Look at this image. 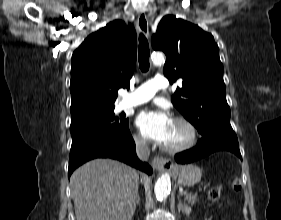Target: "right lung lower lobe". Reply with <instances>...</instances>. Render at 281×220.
Returning a JSON list of instances; mask_svg holds the SVG:
<instances>
[{"mask_svg":"<svg viewBox=\"0 0 281 220\" xmlns=\"http://www.w3.org/2000/svg\"><path fill=\"white\" fill-rule=\"evenodd\" d=\"M95 158L117 159L152 174L151 167L138 159L129 129L118 134L94 132L72 138L68 176L70 177L77 167Z\"/></svg>","mask_w":281,"mask_h":220,"instance_id":"obj_1","label":"right lung lower lobe"}]
</instances>
